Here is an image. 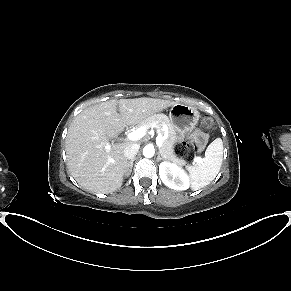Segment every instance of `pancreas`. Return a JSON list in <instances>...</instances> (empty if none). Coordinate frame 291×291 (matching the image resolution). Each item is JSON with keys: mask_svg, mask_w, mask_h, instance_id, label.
Returning <instances> with one entry per match:
<instances>
[{"mask_svg": "<svg viewBox=\"0 0 291 291\" xmlns=\"http://www.w3.org/2000/svg\"><path fill=\"white\" fill-rule=\"evenodd\" d=\"M142 125H148L149 127H159L162 128L163 125L168 126V138L163 141L162 147L159 148L160 154H162L163 158L165 160L171 161L179 166L186 165V161L178 158L173 149V145L176 141V132L174 127L172 126L170 120L167 117H164L162 115H153L149 117L148 119L144 120L140 124L136 125V128L142 126Z\"/></svg>", "mask_w": 291, "mask_h": 291, "instance_id": "pancreas-1", "label": "pancreas"}]
</instances>
